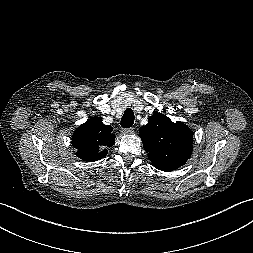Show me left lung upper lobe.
<instances>
[{
	"label": "left lung upper lobe",
	"mask_w": 253,
	"mask_h": 253,
	"mask_svg": "<svg viewBox=\"0 0 253 253\" xmlns=\"http://www.w3.org/2000/svg\"><path fill=\"white\" fill-rule=\"evenodd\" d=\"M143 146L152 165L170 172L184 165L193 150V132L182 122L156 113L139 130Z\"/></svg>",
	"instance_id": "1"
}]
</instances>
